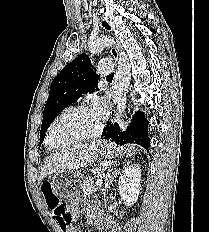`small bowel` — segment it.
<instances>
[{
    "instance_id": "1",
    "label": "small bowel",
    "mask_w": 209,
    "mask_h": 232,
    "mask_svg": "<svg viewBox=\"0 0 209 232\" xmlns=\"http://www.w3.org/2000/svg\"><path fill=\"white\" fill-rule=\"evenodd\" d=\"M67 208L69 209L70 213H75L76 212V209L74 208L73 204H68ZM89 208H91V207H89ZM97 217L99 219H101L100 215H97ZM106 223L108 224L109 222L107 221ZM63 230H64V232H81V230H79L78 228H74V227H67V228H65ZM116 230H117L116 228H113V232L116 231Z\"/></svg>"
}]
</instances>
